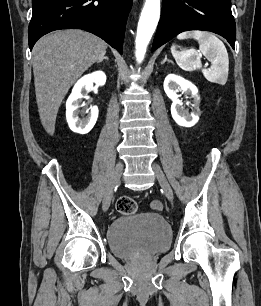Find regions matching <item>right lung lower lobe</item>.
<instances>
[{
  "mask_svg": "<svg viewBox=\"0 0 261 306\" xmlns=\"http://www.w3.org/2000/svg\"><path fill=\"white\" fill-rule=\"evenodd\" d=\"M132 0H32L29 47L58 29H83L105 40L120 53Z\"/></svg>",
  "mask_w": 261,
  "mask_h": 306,
  "instance_id": "1",
  "label": "right lung lower lobe"
}]
</instances>
